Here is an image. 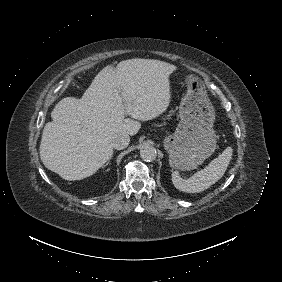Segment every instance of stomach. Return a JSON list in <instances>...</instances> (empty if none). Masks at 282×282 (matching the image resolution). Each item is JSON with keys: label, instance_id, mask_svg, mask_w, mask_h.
Instances as JSON below:
<instances>
[{"label": "stomach", "instance_id": "1", "mask_svg": "<svg viewBox=\"0 0 282 282\" xmlns=\"http://www.w3.org/2000/svg\"><path fill=\"white\" fill-rule=\"evenodd\" d=\"M185 84L187 92L179 106L181 120L176 131L164 139L170 166L183 171L196 169L213 154L217 144L215 110L204 84L190 78Z\"/></svg>", "mask_w": 282, "mask_h": 282}]
</instances>
